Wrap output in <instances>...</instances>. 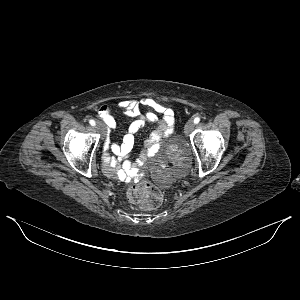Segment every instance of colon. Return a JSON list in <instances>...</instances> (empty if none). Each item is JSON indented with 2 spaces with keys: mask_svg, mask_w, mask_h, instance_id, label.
I'll list each match as a JSON object with an SVG mask.
<instances>
[{
  "mask_svg": "<svg viewBox=\"0 0 300 300\" xmlns=\"http://www.w3.org/2000/svg\"><path fill=\"white\" fill-rule=\"evenodd\" d=\"M131 202L140 204L146 210H154L161 206L163 197L161 192L148 183H138L128 190Z\"/></svg>",
  "mask_w": 300,
  "mask_h": 300,
  "instance_id": "5ec220e1",
  "label": "colon"
}]
</instances>
